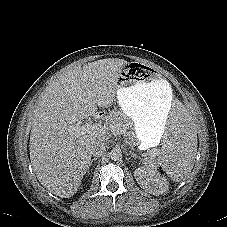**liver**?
Segmentation results:
<instances>
[{
    "instance_id": "6515ba94",
    "label": "liver",
    "mask_w": 227,
    "mask_h": 227,
    "mask_svg": "<svg viewBox=\"0 0 227 227\" xmlns=\"http://www.w3.org/2000/svg\"><path fill=\"white\" fill-rule=\"evenodd\" d=\"M128 63L110 58L66 70L38 101L32 119L30 160L39 182L53 194L69 198L81 185L91 161L90 148L104 135L70 131L82 119L115 101L117 78Z\"/></svg>"
}]
</instances>
